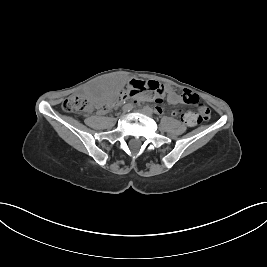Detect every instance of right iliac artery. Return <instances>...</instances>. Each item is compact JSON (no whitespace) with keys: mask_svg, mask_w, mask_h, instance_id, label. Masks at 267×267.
<instances>
[{"mask_svg":"<svg viewBox=\"0 0 267 267\" xmlns=\"http://www.w3.org/2000/svg\"><path fill=\"white\" fill-rule=\"evenodd\" d=\"M133 109V105L132 104H126L124 107H123V111L124 112H129Z\"/></svg>","mask_w":267,"mask_h":267,"instance_id":"82829eb1","label":"right iliac artery"}]
</instances>
